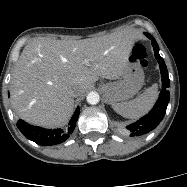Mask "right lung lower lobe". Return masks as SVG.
I'll list each match as a JSON object with an SVG mask.
<instances>
[{"mask_svg":"<svg viewBox=\"0 0 187 187\" xmlns=\"http://www.w3.org/2000/svg\"><path fill=\"white\" fill-rule=\"evenodd\" d=\"M79 113L80 108L77 107L69 122L70 127L65 132L62 129L48 130L38 126H33L21 119L16 125L21 133L29 140L39 145H55L68 139L69 135L73 132L76 126Z\"/></svg>","mask_w":187,"mask_h":187,"instance_id":"98d812e1","label":"right lung lower lobe"}]
</instances>
